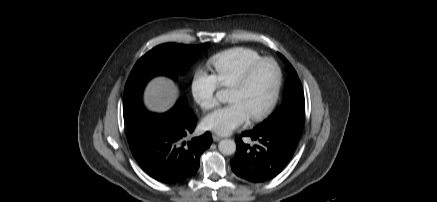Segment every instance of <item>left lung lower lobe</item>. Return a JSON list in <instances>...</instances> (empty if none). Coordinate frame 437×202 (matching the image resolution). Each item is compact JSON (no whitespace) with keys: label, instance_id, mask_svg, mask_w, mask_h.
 Listing matches in <instances>:
<instances>
[{"label":"left lung lower lobe","instance_id":"0a47b994","mask_svg":"<svg viewBox=\"0 0 437 202\" xmlns=\"http://www.w3.org/2000/svg\"><path fill=\"white\" fill-rule=\"evenodd\" d=\"M255 141L249 145L236 139L237 150L231 160L233 172L250 182H264L277 176L294 153L297 138L278 129H252L242 133Z\"/></svg>","mask_w":437,"mask_h":202}]
</instances>
